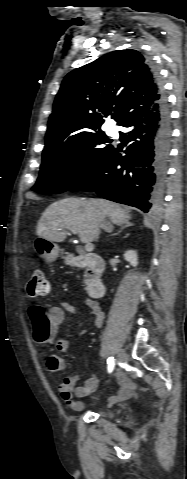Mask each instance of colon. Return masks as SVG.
<instances>
[{"label":"colon","mask_w":187,"mask_h":479,"mask_svg":"<svg viewBox=\"0 0 187 479\" xmlns=\"http://www.w3.org/2000/svg\"><path fill=\"white\" fill-rule=\"evenodd\" d=\"M48 291L49 286L44 272L40 269L33 270L27 283L28 296L31 298L44 297L48 294ZM41 314L44 320L48 321V316L43 308Z\"/></svg>","instance_id":"1"}]
</instances>
